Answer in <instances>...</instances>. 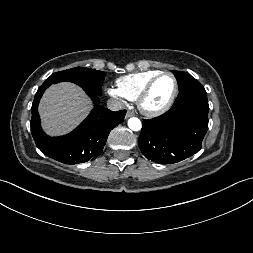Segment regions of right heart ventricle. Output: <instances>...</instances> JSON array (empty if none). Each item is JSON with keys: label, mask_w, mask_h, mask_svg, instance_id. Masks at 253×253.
<instances>
[{"label": "right heart ventricle", "mask_w": 253, "mask_h": 253, "mask_svg": "<svg viewBox=\"0 0 253 253\" xmlns=\"http://www.w3.org/2000/svg\"><path fill=\"white\" fill-rule=\"evenodd\" d=\"M159 72L158 70H149L122 76L116 80L117 90L128 100H137L148 81Z\"/></svg>", "instance_id": "right-heart-ventricle-1"}]
</instances>
